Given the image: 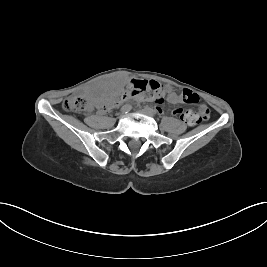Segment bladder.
Returning a JSON list of instances; mask_svg holds the SVG:
<instances>
[{"mask_svg": "<svg viewBox=\"0 0 267 267\" xmlns=\"http://www.w3.org/2000/svg\"><path fill=\"white\" fill-rule=\"evenodd\" d=\"M114 91H117V89H115V88H112Z\"/></svg>", "mask_w": 267, "mask_h": 267, "instance_id": "obj_1", "label": "bladder"}]
</instances>
